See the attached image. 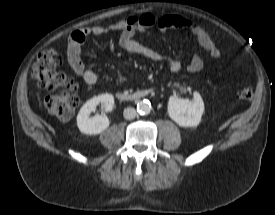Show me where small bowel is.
I'll return each instance as SVG.
<instances>
[{
	"label": "small bowel",
	"mask_w": 275,
	"mask_h": 215,
	"mask_svg": "<svg viewBox=\"0 0 275 215\" xmlns=\"http://www.w3.org/2000/svg\"><path fill=\"white\" fill-rule=\"evenodd\" d=\"M153 27H157L161 31L185 29L196 38L200 47L213 59L219 60L221 58L220 50L210 35L198 23L180 15H155L151 12H145L132 15L126 20H118L109 25H96L75 30L68 38V63L74 73L80 76L86 84L96 85L98 83L97 74L83 63L80 57L81 46L85 39L91 35L99 36L110 31H120L119 45L123 50L138 54L150 61L164 63L172 72L180 71L181 63L178 60L164 56L160 52L135 40L136 34L144 33ZM202 67L203 60L201 56L194 54L187 66L188 71L198 72Z\"/></svg>",
	"instance_id": "obj_1"
}]
</instances>
